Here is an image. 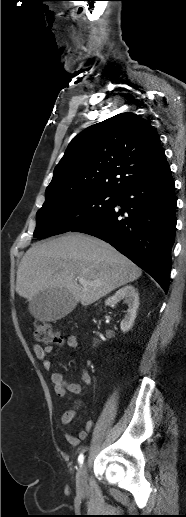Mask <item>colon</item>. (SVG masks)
<instances>
[{"label":"colon","mask_w":186,"mask_h":517,"mask_svg":"<svg viewBox=\"0 0 186 517\" xmlns=\"http://www.w3.org/2000/svg\"><path fill=\"white\" fill-rule=\"evenodd\" d=\"M34 338L39 343L51 344L59 340V333L48 323L37 321L34 328Z\"/></svg>","instance_id":"5ec220e1"}]
</instances>
